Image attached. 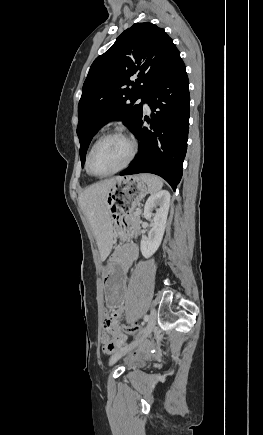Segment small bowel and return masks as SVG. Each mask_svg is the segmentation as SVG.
Masks as SVG:
<instances>
[{
  "label": "small bowel",
  "mask_w": 263,
  "mask_h": 435,
  "mask_svg": "<svg viewBox=\"0 0 263 435\" xmlns=\"http://www.w3.org/2000/svg\"><path fill=\"white\" fill-rule=\"evenodd\" d=\"M137 257L138 247L133 243L116 250L111 256V258H121L122 261H127L128 272ZM123 279L127 280V278ZM123 312L124 305H118V309L111 310L110 315L105 319L104 328L109 334H104L102 338V340H106V343H103V341L100 343V348L104 350L105 355H117L119 350H123L126 347V344L123 342L126 339V334L118 322Z\"/></svg>",
  "instance_id": "obj_1"
}]
</instances>
